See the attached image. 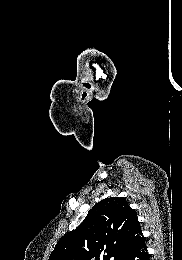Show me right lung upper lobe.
Listing matches in <instances>:
<instances>
[{"mask_svg":"<svg viewBox=\"0 0 182 260\" xmlns=\"http://www.w3.org/2000/svg\"><path fill=\"white\" fill-rule=\"evenodd\" d=\"M143 241L136 213L126 200L105 198L57 242L49 260H121Z\"/></svg>","mask_w":182,"mask_h":260,"instance_id":"1","label":"right lung upper lobe"}]
</instances>
